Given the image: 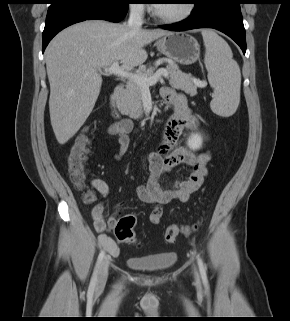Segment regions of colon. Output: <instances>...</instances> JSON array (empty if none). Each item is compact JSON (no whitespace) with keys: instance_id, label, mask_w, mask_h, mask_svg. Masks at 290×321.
Listing matches in <instances>:
<instances>
[{"instance_id":"1","label":"colon","mask_w":290,"mask_h":321,"mask_svg":"<svg viewBox=\"0 0 290 321\" xmlns=\"http://www.w3.org/2000/svg\"><path fill=\"white\" fill-rule=\"evenodd\" d=\"M91 139L86 130L81 131L74 139L67 156V168L70 179L74 186L81 190L85 187L87 179L86 162L89 154V146ZM86 201L92 203L95 201V195L88 192ZM136 224V216L132 213L126 214L115 223V235L119 242L135 245L137 243L134 226ZM197 226H195L196 228ZM189 234V228L179 227L178 225H170L164 233V239L167 243L175 242L179 234Z\"/></svg>"}]
</instances>
